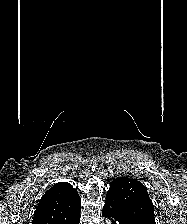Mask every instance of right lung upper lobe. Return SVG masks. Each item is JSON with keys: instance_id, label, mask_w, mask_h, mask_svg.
Here are the masks:
<instances>
[{"instance_id": "right-lung-upper-lobe-1", "label": "right lung upper lobe", "mask_w": 187, "mask_h": 224, "mask_svg": "<svg viewBox=\"0 0 187 224\" xmlns=\"http://www.w3.org/2000/svg\"><path fill=\"white\" fill-rule=\"evenodd\" d=\"M80 210L78 192L71 184L59 182L40 199L32 224H66Z\"/></svg>"}]
</instances>
